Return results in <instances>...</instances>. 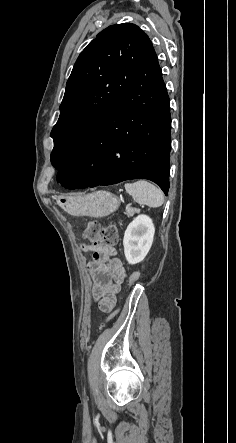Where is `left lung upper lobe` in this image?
<instances>
[{"label": "left lung upper lobe", "instance_id": "5c2ea615", "mask_svg": "<svg viewBox=\"0 0 236 443\" xmlns=\"http://www.w3.org/2000/svg\"><path fill=\"white\" fill-rule=\"evenodd\" d=\"M154 52L149 37L130 23L107 27L81 52L51 132V163L58 171L69 163Z\"/></svg>", "mask_w": 236, "mask_h": 443}]
</instances>
